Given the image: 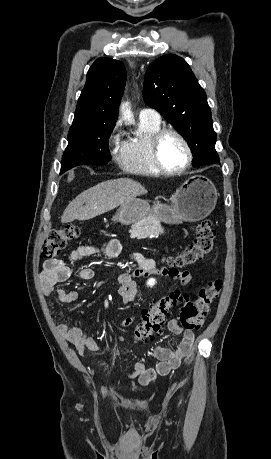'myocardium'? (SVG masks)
<instances>
[{
	"label": "myocardium",
	"mask_w": 271,
	"mask_h": 459,
	"mask_svg": "<svg viewBox=\"0 0 271 459\" xmlns=\"http://www.w3.org/2000/svg\"><path fill=\"white\" fill-rule=\"evenodd\" d=\"M168 134H174L178 136L183 143L185 144L187 151H188V160L186 164L180 168H170L166 166L162 160L161 153H160V145L162 139L168 135ZM151 157L153 163L156 165V167L163 173L168 174V175H179L187 170H189L194 162V150L193 147L187 138V136L180 131L177 128L173 127H164L160 128L158 131H156L151 139Z\"/></svg>",
	"instance_id": "1"
}]
</instances>
